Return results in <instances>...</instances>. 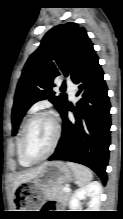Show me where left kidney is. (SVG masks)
<instances>
[{"label":"left kidney","mask_w":123,"mask_h":219,"mask_svg":"<svg viewBox=\"0 0 123 219\" xmlns=\"http://www.w3.org/2000/svg\"><path fill=\"white\" fill-rule=\"evenodd\" d=\"M101 193L102 185L98 181H93L74 192L70 199L69 207L72 211H81V201L84 200L86 197H90L88 209H86L85 211H99L101 203Z\"/></svg>","instance_id":"1"}]
</instances>
